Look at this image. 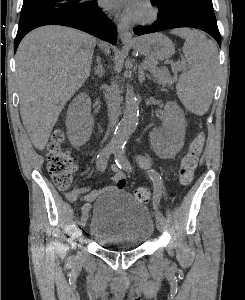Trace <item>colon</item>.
<instances>
[{"mask_svg": "<svg viewBox=\"0 0 245 300\" xmlns=\"http://www.w3.org/2000/svg\"><path fill=\"white\" fill-rule=\"evenodd\" d=\"M64 135L61 131L54 132L48 146L47 167L55 186L60 190H66L72 183L76 165L68 151L62 148ZM205 143V134L200 131L190 142L179 167V181L182 185H189L194 177L200 154ZM135 198L141 203H147L151 199V191L147 187H139L134 192Z\"/></svg>", "mask_w": 245, "mask_h": 300, "instance_id": "colon-1", "label": "colon"}]
</instances>
